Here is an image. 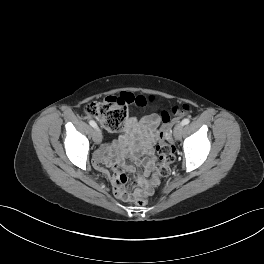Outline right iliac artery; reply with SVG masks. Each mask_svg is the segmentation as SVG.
<instances>
[{
	"instance_id": "82829eb1",
	"label": "right iliac artery",
	"mask_w": 264,
	"mask_h": 264,
	"mask_svg": "<svg viewBox=\"0 0 264 264\" xmlns=\"http://www.w3.org/2000/svg\"><path fill=\"white\" fill-rule=\"evenodd\" d=\"M89 124H90L92 127L97 128V124L95 123V121L90 120V121H89Z\"/></svg>"
}]
</instances>
